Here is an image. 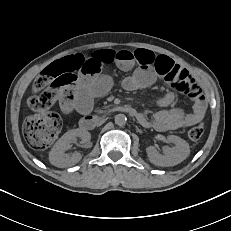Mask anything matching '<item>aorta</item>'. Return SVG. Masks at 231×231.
<instances>
[{
    "instance_id": "762f6f07",
    "label": "aorta",
    "mask_w": 231,
    "mask_h": 231,
    "mask_svg": "<svg viewBox=\"0 0 231 231\" xmlns=\"http://www.w3.org/2000/svg\"><path fill=\"white\" fill-rule=\"evenodd\" d=\"M126 121H127V118L124 114H117L115 116V123L117 125H120V126L125 125Z\"/></svg>"
}]
</instances>
